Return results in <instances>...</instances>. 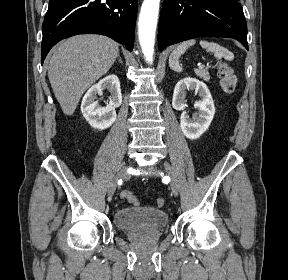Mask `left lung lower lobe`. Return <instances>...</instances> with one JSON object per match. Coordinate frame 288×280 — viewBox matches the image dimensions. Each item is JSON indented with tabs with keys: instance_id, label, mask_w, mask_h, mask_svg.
Listing matches in <instances>:
<instances>
[{
	"instance_id": "1",
	"label": "left lung lower lobe",
	"mask_w": 288,
	"mask_h": 280,
	"mask_svg": "<svg viewBox=\"0 0 288 280\" xmlns=\"http://www.w3.org/2000/svg\"><path fill=\"white\" fill-rule=\"evenodd\" d=\"M199 36L238 40L248 50L247 24L238 0H164L158 48Z\"/></svg>"
}]
</instances>
